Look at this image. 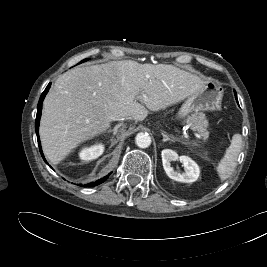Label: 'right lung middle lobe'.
<instances>
[{"instance_id": "1", "label": "right lung middle lobe", "mask_w": 267, "mask_h": 267, "mask_svg": "<svg viewBox=\"0 0 267 267\" xmlns=\"http://www.w3.org/2000/svg\"><path fill=\"white\" fill-rule=\"evenodd\" d=\"M87 59H84V60H82L80 63H82V62H84V61H86Z\"/></svg>"}]
</instances>
